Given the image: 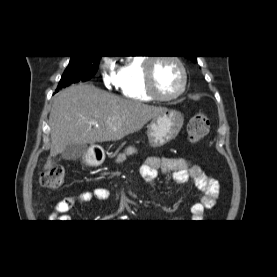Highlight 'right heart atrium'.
<instances>
[{
	"instance_id": "right-heart-atrium-1",
	"label": "right heart atrium",
	"mask_w": 277,
	"mask_h": 277,
	"mask_svg": "<svg viewBox=\"0 0 277 277\" xmlns=\"http://www.w3.org/2000/svg\"><path fill=\"white\" fill-rule=\"evenodd\" d=\"M101 79L103 85L108 89L117 88L119 86L118 73L113 69L111 62L106 59L101 65Z\"/></svg>"
}]
</instances>
